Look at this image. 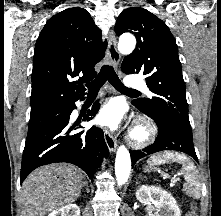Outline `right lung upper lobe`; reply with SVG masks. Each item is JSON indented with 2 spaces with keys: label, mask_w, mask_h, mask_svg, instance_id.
I'll return each instance as SVG.
<instances>
[{
  "label": "right lung upper lobe",
  "mask_w": 221,
  "mask_h": 216,
  "mask_svg": "<svg viewBox=\"0 0 221 216\" xmlns=\"http://www.w3.org/2000/svg\"><path fill=\"white\" fill-rule=\"evenodd\" d=\"M105 46L101 30L85 9L75 7L54 15L35 46L31 115L59 108L83 96L85 88L80 84L96 76L94 66L103 59Z\"/></svg>",
  "instance_id": "obj_1"
}]
</instances>
